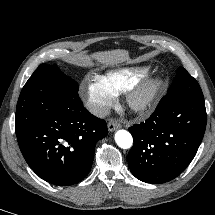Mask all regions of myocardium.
I'll return each instance as SVG.
<instances>
[{
  "mask_svg": "<svg viewBox=\"0 0 215 215\" xmlns=\"http://www.w3.org/2000/svg\"><path fill=\"white\" fill-rule=\"evenodd\" d=\"M163 88L164 79L161 76L148 77L125 91V104L134 114H146L156 104Z\"/></svg>",
  "mask_w": 215,
  "mask_h": 215,
  "instance_id": "myocardium-1",
  "label": "myocardium"
}]
</instances>
